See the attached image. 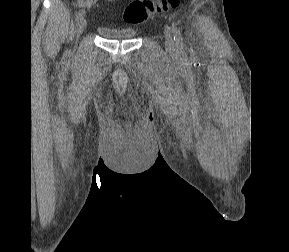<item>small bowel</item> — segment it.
<instances>
[{
	"mask_svg": "<svg viewBox=\"0 0 289 252\" xmlns=\"http://www.w3.org/2000/svg\"><path fill=\"white\" fill-rule=\"evenodd\" d=\"M106 4L113 2L114 0H103ZM99 0H75V5L80 8H90L97 4Z\"/></svg>",
	"mask_w": 289,
	"mask_h": 252,
	"instance_id": "obj_1",
	"label": "small bowel"
}]
</instances>
